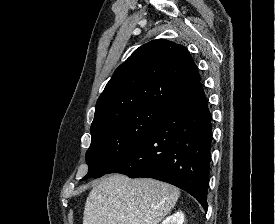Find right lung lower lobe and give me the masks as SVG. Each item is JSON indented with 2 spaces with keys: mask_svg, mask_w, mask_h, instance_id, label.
Wrapping results in <instances>:
<instances>
[{
  "mask_svg": "<svg viewBox=\"0 0 275 224\" xmlns=\"http://www.w3.org/2000/svg\"><path fill=\"white\" fill-rule=\"evenodd\" d=\"M212 117L201 82L170 106L149 135L109 173L175 185L207 211Z\"/></svg>",
  "mask_w": 275,
  "mask_h": 224,
  "instance_id": "98d812e1",
  "label": "right lung lower lobe"
}]
</instances>
